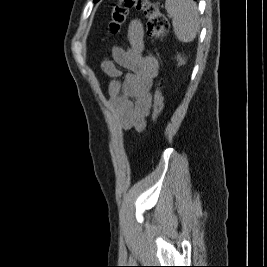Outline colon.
Here are the masks:
<instances>
[{
	"mask_svg": "<svg viewBox=\"0 0 267 267\" xmlns=\"http://www.w3.org/2000/svg\"><path fill=\"white\" fill-rule=\"evenodd\" d=\"M131 10L141 11L146 17L148 35L154 40H161L168 34L169 21L161 12L159 5L151 0H118L111 11L109 29L116 33L125 23ZM163 82L160 81L153 96V120L155 123L163 111V96L161 92Z\"/></svg>",
	"mask_w": 267,
	"mask_h": 267,
	"instance_id": "1",
	"label": "colon"
}]
</instances>
